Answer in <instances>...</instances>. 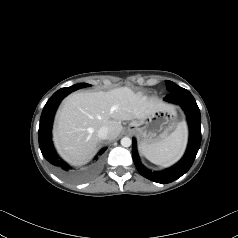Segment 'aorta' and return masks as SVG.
Wrapping results in <instances>:
<instances>
[{
    "label": "aorta",
    "mask_w": 238,
    "mask_h": 238,
    "mask_svg": "<svg viewBox=\"0 0 238 238\" xmlns=\"http://www.w3.org/2000/svg\"><path fill=\"white\" fill-rule=\"evenodd\" d=\"M131 144H132V140H131L129 137H123V138L121 139V145H122L123 147H130Z\"/></svg>",
    "instance_id": "1"
}]
</instances>
